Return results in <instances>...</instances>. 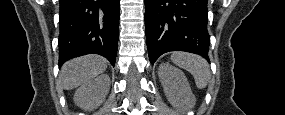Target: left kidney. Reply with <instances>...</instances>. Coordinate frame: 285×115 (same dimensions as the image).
Instances as JSON below:
<instances>
[{"label":"left kidney","instance_id":"5707ae66","mask_svg":"<svg viewBox=\"0 0 285 115\" xmlns=\"http://www.w3.org/2000/svg\"><path fill=\"white\" fill-rule=\"evenodd\" d=\"M158 76L171 105L182 109H190L195 105L196 98L185 74L180 69L169 63H161Z\"/></svg>","mask_w":285,"mask_h":115}]
</instances>
